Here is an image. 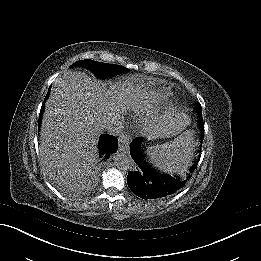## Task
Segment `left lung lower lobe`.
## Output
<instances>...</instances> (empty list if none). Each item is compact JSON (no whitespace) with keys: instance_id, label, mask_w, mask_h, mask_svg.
<instances>
[{"instance_id":"1","label":"left lung lower lobe","mask_w":261,"mask_h":261,"mask_svg":"<svg viewBox=\"0 0 261 261\" xmlns=\"http://www.w3.org/2000/svg\"><path fill=\"white\" fill-rule=\"evenodd\" d=\"M143 141L142 137H137L130 144V154L138 168H136V171L128 173V186L142 199L151 201L167 199L184 186L186 178L191 177L189 171L185 170L180 177L159 173L143 161ZM196 167V165H193L189 169L190 172H193ZM186 172L188 175H186Z\"/></svg>"}]
</instances>
